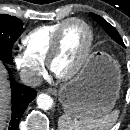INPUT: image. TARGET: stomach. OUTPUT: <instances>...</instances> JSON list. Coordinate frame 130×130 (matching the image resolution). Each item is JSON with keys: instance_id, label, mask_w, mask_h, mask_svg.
Returning <instances> with one entry per match:
<instances>
[{"instance_id": "obj_1", "label": "stomach", "mask_w": 130, "mask_h": 130, "mask_svg": "<svg viewBox=\"0 0 130 130\" xmlns=\"http://www.w3.org/2000/svg\"><path fill=\"white\" fill-rule=\"evenodd\" d=\"M122 77L118 63L103 52H95L82 71L59 91L68 115L100 118L108 114L119 98Z\"/></svg>"}]
</instances>
